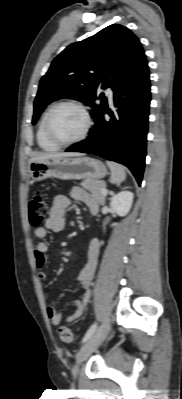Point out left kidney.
Returning a JSON list of instances; mask_svg holds the SVG:
<instances>
[{
  "instance_id": "1",
  "label": "left kidney",
  "mask_w": 182,
  "mask_h": 399,
  "mask_svg": "<svg viewBox=\"0 0 182 399\" xmlns=\"http://www.w3.org/2000/svg\"><path fill=\"white\" fill-rule=\"evenodd\" d=\"M133 198L132 192L122 191L112 198L110 207L117 215L126 216L132 207ZM112 226H117V223H113Z\"/></svg>"
}]
</instances>
